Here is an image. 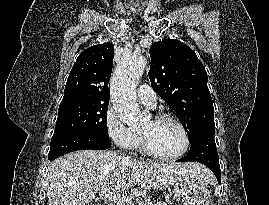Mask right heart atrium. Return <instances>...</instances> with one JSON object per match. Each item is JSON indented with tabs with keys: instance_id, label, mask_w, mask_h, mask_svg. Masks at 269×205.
<instances>
[{
	"instance_id": "1",
	"label": "right heart atrium",
	"mask_w": 269,
	"mask_h": 205,
	"mask_svg": "<svg viewBox=\"0 0 269 205\" xmlns=\"http://www.w3.org/2000/svg\"><path fill=\"white\" fill-rule=\"evenodd\" d=\"M105 130L108 137L120 148L134 150L141 142L140 137L121 122L112 108H109L105 115Z\"/></svg>"
}]
</instances>
